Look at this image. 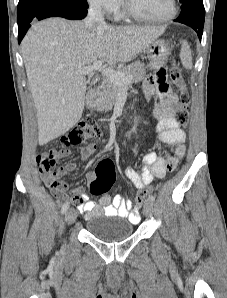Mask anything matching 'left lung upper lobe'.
I'll return each instance as SVG.
<instances>
[{
  "label": "left lung upper lobe",
  "mask_w": 227,
  "mask_h": 298,
  "mask_svg": "<svg viewBox=\"0 0 227 298\" xmlns=\"http://www.w3.org/2000/svg\"><path fill=\"white\" fill-rule=\"evenodd\" d=\"M182 3L181 13L178 18L195 17L204 20L205 9L203 0H180Z\"/></svg>",
  "instance_id": "left-lung-upper-lobe-1"
}]
</instances>
